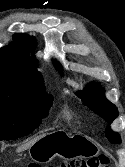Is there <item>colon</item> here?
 I'll return each instance as SVG.
<instances>
[{"instance_id": "1", "label": "colon", "mask_w": 125, "mask_h": 167, "mask_svg": "<svg viewBox=\"0 0 125 167\" xmlns=\"http://www.w3.org/2000/svg\"><path fill=\"white\" fill-rule=\"evenodd\" d=\"M49 167H109V157L101 154L92 156L88 159H74L68 162H63L59 166Z\"/></svg>"}]
</instances>
